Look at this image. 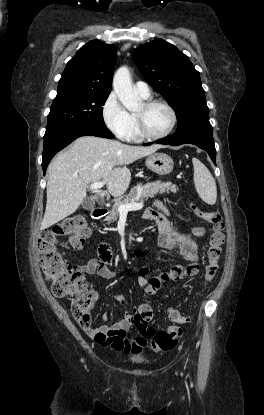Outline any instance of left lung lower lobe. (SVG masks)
I'll return each mask as SVG.
<instances>
[{
    "mask_svg": "<svg viewBox=\"0 0 264 415\" xmlns=\"http://www.w3.org/2000/svg\"><path fill=\"white\" fill-rule=\"evenodd\" d=\"M155 143L171 146L194 144L205 150L216 165V150L209 115L196 116L179 126L176 132ZM152 143L144 144L151 145Z\"/></svg>",
    "mask_w": 264,
    "mask_h": 415,
    "instance_id": "1",
    "label": "left lung lower lobe"
}]
</instances>
